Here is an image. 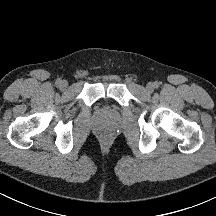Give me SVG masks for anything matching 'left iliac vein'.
<instances>
[{
    "label": "left iliac vein",
    "mask_w": 216,
    "mask_h": 216,
    "mask_svg": "<svg viewBox=\"0 0 216 216\" xmlns=\"http://www.w3.org/2000/svg\"><path fill=\"white\" fill-rule=\"evenodd\" d=\"M146 89L148 92H152L154 90V85L152 83H148Z\"/></svg>",
    "instance_id": "1"
}]
</instances>
